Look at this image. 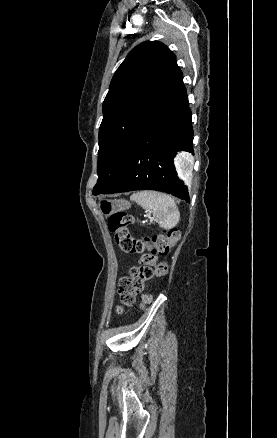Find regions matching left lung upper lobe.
Returning <instances> with one entry per match:
<instances>
[{
  "label": "left lung upper lobe",
  "mask_w": 277,
  "mask_h": 438,
  "mask_svg": "<svg viewBox=\"0 0 277 438\" xmlns=\"http://www.w3.org/2000/svg\"><path fill=\"white\" fill-rule=\"evenodd\" d=\"M182 80L175 55L162 43L147 41L130 51L115 72L103 103L94 195L118 178L133 142L138 114L149 97L166 101L180 113H190Z\"/></svg>",
  "instance_id": "left-lung-upper-lobe-1"
}]
</instances>
